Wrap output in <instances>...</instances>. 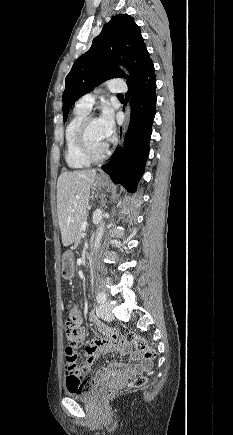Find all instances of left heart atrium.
I'll return each mask as SVG.
<instances>
[{
  "instance_id": "1",
  "label": "left heart atrium",
  "mask_w": 233,
  "mask_h": 435,
  "mask_svg": "<svg viewBox=\"0 0 233 435\" xmlns=\"http://www.w3.org/2000/svg\"><path fill=\"white\" fill-rule=\"evenodd\" d=\"M104 136L109 140L114 131L113 114L109 108H105L98 119Z\"/></svg>"
}]
</instances>
